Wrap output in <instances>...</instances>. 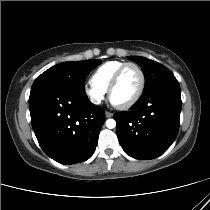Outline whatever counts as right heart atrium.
<instances>
[{
  "label": "right heart atrium",
  "mask_w": 210,
  "mask_h": 210,
  "mask_svg": "<svg viewBox=\"0 0 210 210\" xmlns=\"http://www.w3.org/2000/svg\"><path fill=\"white\" fill-rule=\"evenodd\" d=\"M83 90L88 99L94 104H100L105 98V91L92 83H86Z\"/></svg>",
  "instance_id": "obj_1"
}]
</instances>
